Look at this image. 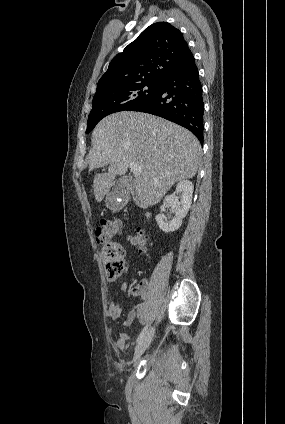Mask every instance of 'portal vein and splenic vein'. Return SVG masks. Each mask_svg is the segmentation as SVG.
I'll use <instances>...</instances> for the list:
<instances>
[{"instance_id":"18ae733b","label":"portal vein and splenic vein","mask_w":285,"mask_h":424,"mask_svg":"<svg viewBox=\"0 0 285 424\" xmlns=\"http://www.w3.org/2000/svg\"><path fill=\"white\" fill-rule=\"evenodd\" d=\"M129 167L135 176H139L142 173L141 167L138 166L136 163H129Z\"/></svg>"}]
</instances>
